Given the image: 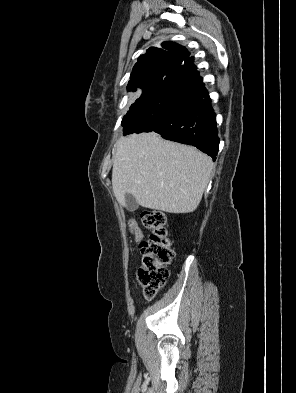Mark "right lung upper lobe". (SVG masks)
I'll return each mask as SVG.
<instances>
[{
    "mask_svg": "<svg viewBox=\"0 0 296 393\" xmlns=\"http://www.w3.org/2000/svg\"><path fill=\"white\" fill-rule=\"evenodd\" d=\"M163 48L151 47L135 64L128 83V91H136L156 79H165L194 60L187 49L174 42H164ZM192 65V64H191Z\"/></svg>",
    "mask_w": 296,
    "mask_h": 393,
    "instance_id": "obj_1",
    "label": "right lung upper lobe"
}]
</instances>
